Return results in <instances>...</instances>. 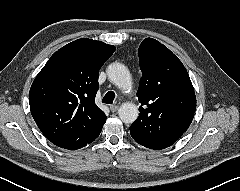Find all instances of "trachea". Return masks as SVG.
<instances>
[{
    "label": "trachea",
    "mask_w": 240,
    "mask_h": 191,
    "mask_svg": "<svg viewBox=\"0 0 240 191\" xmlns=\"http://www.w3.org/2000/svg\"><path fill=\"white\" fill-rule=\"evenodd\" d=\"M115 99V93L113 91H108L103 97L102 102L106 104H112Z\"/></svg>",
    "instance_id": "3493384b"
}]
</instances>
